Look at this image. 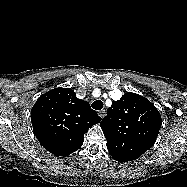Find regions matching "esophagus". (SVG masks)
Listing matches in <instances>:
<instances>
[{
	"label": "esophagus",
	"instance_id": "1",
	"mask_svg": "<svg viewBox=\"0 0 187 187\" xmlns=\"http://www.w3.org/2000/svg\"><path fill=\"white\" fill-rule=\"evenodd\" d=\"M98 115H99L101 118H104L105 115H106V110H105V109H102V110L98 111Z\"/></svg>",
	"mask_w": 187,
	"mask_h": 187
}]
</instances>
